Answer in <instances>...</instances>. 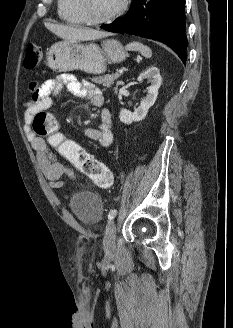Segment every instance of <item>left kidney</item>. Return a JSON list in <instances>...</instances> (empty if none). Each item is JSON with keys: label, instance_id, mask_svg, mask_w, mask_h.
I'll return each instance as SVG.
<instances>
[{"label": "left kidney", "instance_id": "5707ae66", "mask_svg": "<svg viewBox=\"0 0 233 328\" xmlns=\"http://www.w3.org/2000/svg\"><path fill=\"white\" fill-rule=\"evenodd\" d=\"M144 79H149L151 83L148 88V94L142 99L140 106L133 113L124 108L120 110L119 118L124 124L129 125L132 122L143 120L146 117L148 110L154 105L157 99L158 90L162 82L159 69L157 67L148 68L138 77L139 82H142Z\"/></svg>", "mask_w": 233, "mask_h": 328}]
</instances>
